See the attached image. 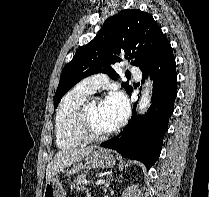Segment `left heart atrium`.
Wrapping results in <instances>:
<instances>
[{
    "mask_svg": "<svg viewBox=\"0 0 209 197\" xmlns=\"http://www.w3.org/2000/svg\"><path fill=\"white\" fill-rule=\"evenodd\" d=\"M101 107L112 128L119 126L125 120L129 111L127 99L120 91L111 92L102 101Z\"/></svg>",
    "mask_w": 209,
    "mask_h": 197,
    "instance_id": "obj_1",
    "label": "left heart atrium"
}]
</instances>
